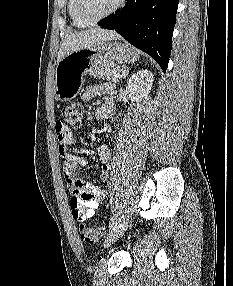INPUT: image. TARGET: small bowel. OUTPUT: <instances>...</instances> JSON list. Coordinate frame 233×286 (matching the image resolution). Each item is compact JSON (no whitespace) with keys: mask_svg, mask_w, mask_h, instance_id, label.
I'll return each mask as SVG.
<instances>
[{"mask_svg":"<svg viewBox=\"0 0 233 286\" xmlns=\"http://www.w3.org/2000/svg\"><path fill=\"white\" fill-rule=\"evenodd\" d=\"M103 96V104L96 110L95 117L100 120L111 118L114 115V100L112 87L110 85H90L82 93V100L89 101L94 97ZM58 151L63 159V175L66 186L71 193V212L75 220H84L91 217L99 203L105 197V191L90 182L80 178L77 169L87 165L84 156L72 154L68 147L73 144L74 136L71 129L61 122L55 124ZM98 156L101 164L102 181H106L110 175L111 152L107 145H102L98 149ZM77 199V204L73 199Z\"/></svg>","mask_w":233,"mask_h":286,"instance_id":"obj_1","label":"small bowel"}]
</instances>
